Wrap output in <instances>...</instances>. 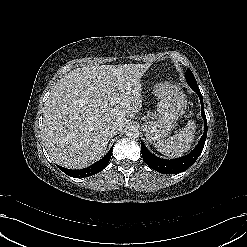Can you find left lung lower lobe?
Wrapping results in <instances>:
<instances>
[{
	"label": "left lung lower lobe",
	"mask_w": 247,
	"mask_h": 247,
	"mask_svg": "<svg viewBox=\"0 0 247 247\" xmlns=\"http://www.w3.org/2000/svg\"><path fill=\"white\" fill-rule=\"evenodd\" d=\"M189 86L199 96L201 108H202L201 114H202V117L205 123L203 136L201 137L195 149L186 156L176 158V159L166 160V159H161L153 155L152 153H150L145 147L144 143H141V153H142L143 160L146 162V164L150 168L160 173H163V174H177V173L187 170L197 160V158L199 157V155L201 154L204 148L208 128H207L206 115L204 112L203 97H202V94L197 84H189Z\"/></svg>",
	"instance_id": "0a47b994"
}]
</instances>
